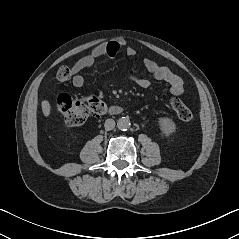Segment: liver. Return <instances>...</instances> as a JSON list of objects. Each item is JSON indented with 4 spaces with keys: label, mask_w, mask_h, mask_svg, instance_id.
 Wrapping results in <instances>:
<instances>
[{
    "label": "liver",
    "mask_w": 239,
    "mask_h": 239,
    "mask_svg": "<svg viewBox=\"0 0 239 239\" xmlns=\"http://www.w3.org/2000/svg\"><path fill=\"white\" fill-rule=\"evenodd\" d=\"M41 107H42V112H43L44 116H46V117L49 116L50 110H51L50 103L47 100H44L41 103Z\"/></svg>",
    "instance_id": "liver-1"
}]
</instances>
